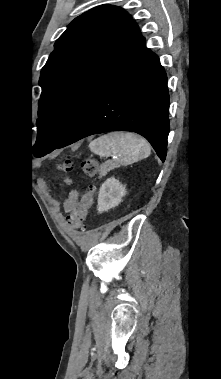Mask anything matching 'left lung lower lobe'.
<instances>
[{"mask_svg": "<svg viewBox=\"0 0 221 379\" xmlns=\"http://www.w3.org/2000/svg\"><path fill=\"white\" fill-rule=\"evenodd\" d=\"M168 111L166 73L159 58L144 47L97 97L56 148L93 134L132 131L144 136L160 159L165 161L170 129Z\"/></svg>", "mask_w": 221, "mask_h": 379, "instance_id": "obj_1", "label": "left lung lower lobe"}]
</instances>
